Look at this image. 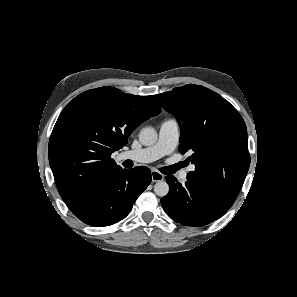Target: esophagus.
Masks as SVG:
<instances>
[{"mask_svg":"<svg viewBox=\"0 0 297 297\" xmlns=\"http://www.w3.org/2000/svg\"><path fill=\"white\" fill-rule=\"evenodd\" d=\"M151 177L153 182H159L164 179V175L156 170L151 171Z\"/></svg>","mask_w":297,"mask_h":297,"instance_id":"esophagus-1","label":"esophagus"}]
</instances>
